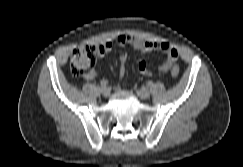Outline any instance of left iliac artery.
I'll use <instances>...</instances> for the list:
<instances>
[{
    "label": "left iliac artery",
    "mask_w": 243,
    "mask_h": 167,
    "mask_svg": "<svg viewBox=\"0 0 243 167\" xmlns=\"http://www.w3.org/2000/svg\"><path fill=\"white\" fill-rule=\"evenodd\" d=\"M147 85H148V86H152V85H153V82H152V81H148V82H147Z\"/></svg>",
    "instance_id": "1"
}]
</instances>
